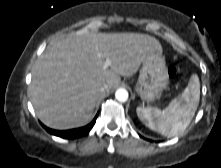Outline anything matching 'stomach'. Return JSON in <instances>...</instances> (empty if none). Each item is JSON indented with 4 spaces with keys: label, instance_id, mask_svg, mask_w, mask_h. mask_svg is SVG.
<instances>
[{
    "label": "stomach",
    "instance_id": "obj_1",
    "mask_svg": "<svg viewBox=\"0 0 221 168\" xmlns=\"http://www.w3.org/2000/svg\"><path fill=\"white\" fill-rule=\"evenodd\" d=\"M169 83V77L162 54L148 55L142 62L135 86L137 94L145 101L153 102L160 97Z\"/></svg>",
    "mask_w": 221,
    "mask_h": 168
}]
</instances>
